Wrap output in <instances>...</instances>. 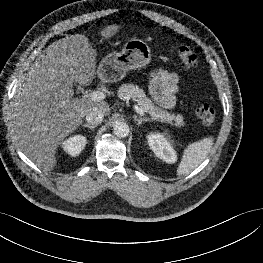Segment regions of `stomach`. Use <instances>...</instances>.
<instances>
[{"label": "stomach", "mask_w": 263, "mask_h": 263, "mask_svg": "<svg viewBox=\"0 0 263 263\" xmlns=\"http://www.w3.org/2000/svg\"><path fill=\"white\" fill-rule=\"evenodd\" d=\"M152 52L146 42L132 38L120 52L106 55L98 65L97 75L105 82L123 79L129 70L145 68L151 61Z\"/></svg>", "instance_id": "1"}]
</instances>
